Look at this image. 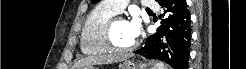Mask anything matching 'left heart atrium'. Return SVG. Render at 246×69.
<instances>
[{"label": "left heart atrium", "mask_w": 246, "mask_h": 69, "mask_svg": "<svg viewBox=\"0 0 246 69\" xmlns=\"http://www.w3.org/2000/svg\"><path fill=\"white\" fill-rule=\"evenodd\" d=\"M127 23H128L132 37L136 40L140 33V26H139L137 18L133 17Z\"/></svg>", "instance_id": "left-heart-atrium-1"}]
</instances>
